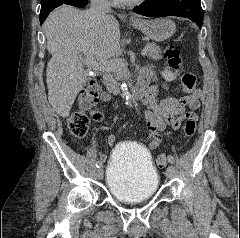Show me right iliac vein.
Here are the masks:
<instances>
[{
    "label": "right iliac vein",
    "instance_id": "right-iliac-vein-1",
    "mask_svg": "<svg viewBox=\"0 0 240 238\" xmlns=\"http://www.w3.org/2000/svg\"><path fill=\"white\" fill-rule=\"evenodd\" d=\"M103 176H104L103 169H102V168H99V169L97 170V177H98V179L102 180V179H103Z\"/></svg>",
    "mask_w": 240,
    "mask_h": 238
}]
</instances>
